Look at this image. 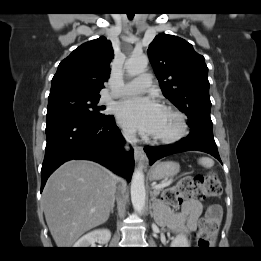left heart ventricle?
Masks as SVG:
<instances>
[{
  "label": "left heart ventricle",
  "instance_id": "b2bd125f",
  "mask_svg": "<svg viewBox=\"0 0 261 261\" xmlns=\"http://www.w3.org/2000/svg\"><path fill=\"white\" fill-rule=\"evenodd\" d=\"M177 128L176 119L170 115L169 113L165 112L160 124V127L155 134V136H167L175 132Z\"/></svg>",
  "mask_w": 261,
  "mask_h": 261
}]
</instances>
